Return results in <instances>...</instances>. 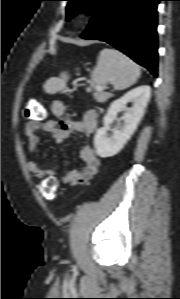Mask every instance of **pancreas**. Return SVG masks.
Instances as JSON below:
<instances>
[{
    "label": "pancreas",
    "instance_id": "1",
    "mask_svg": "<svg viewBox=\"0 0 180 299\" xmlns=\"http://www.w3.org/2000/svg\"><path fill=\"white\" fill-rule=\"evenodd\" d=\"M94 96L98 102H105L108 98H110L112 96V94L108 93V92L101 91V92H96L94 94Z\"/></svg>",
    "mask_w": 180,
    "mask_h": 299
}]
</instances>
